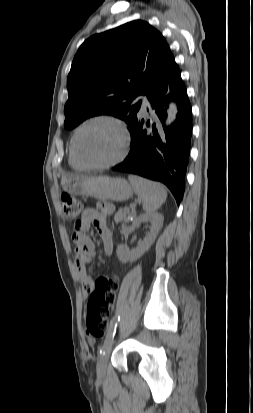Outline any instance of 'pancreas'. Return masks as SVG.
I'll use <instances>...</instances> for the list:
<instances>
[{"mask_svg":"<svg viewBox=\"0 0 253 413\" xmlns=\"http://www.w3.org/2000/svg\"><path fill=\"white\" fill-rule=\"evenodd\" d=\"M129 214V209L128 208H120L118 210V212L115 214V222L119 223L122 222L124 220H126L127 215Z\"/></svg>","mask_w":253,"mask_h":413,"instance_id":"pancreas-1","label":"pancreas"}]
</instances>
